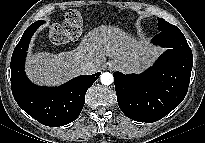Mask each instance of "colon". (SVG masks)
<instances>
[{
  "label": "colon",
  "instance_id": "1",
  "mask_svg": "<svg viewBox=\"0 0 205 143\" xmlns=\"http://www.w3.org/2000/svg\"><path fill=\"white\" fill-rule=\"evenodd\" d=\"M82 15L79 9L70 8L64 13L62 24L52 23L48 26L49 38L55 44H66L78 39L81 33Z\"/></svg>",
  "mask_w": 205,
  "mask_h": 143
}]
</instances>
